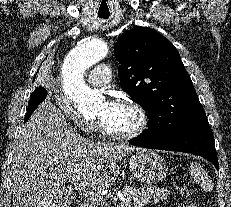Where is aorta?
I'll list each match as a JSON object with an SVG mask.
<instances>
[{
  "mask_svg": "<svg viewBox=\"0 0 231 207\" xmlns=\"http://www.w3.org/2000/svg\"><path fill=\"white\" fill-rule=\"evenodd\" d=\"M108 54L105 42L91 39L79 43L67 54L62 65L63 89L71 102L83 113L93 112L103 96L84 81V73Z\"/></svg>",
  "mask_w": 231,
  "mask_h": 207,
  "instance_id": "obj_1",
  "label": "aorta"
}]
</instances>
